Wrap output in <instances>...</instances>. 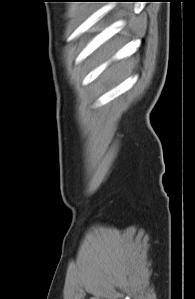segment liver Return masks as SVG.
<instances>
[{
	"instance_id": "6515ba94",
	"label": "liver",
	"mask_w": 195,
	"mask_h": 299,
	"mask_svg": "<svg viewBox=\"0 0 195 299\" xmlns=\"http://www.w3.org/2000/svg\"><path fill=\"white\" fill-rule=\"evenodd\" d=\"M115 50H116V44L112 43L107 45L103 50L104 57L105 58L111 57L115 52ZM123 65H124L123 63L113 64L109 69V73L114 75L117 71L123 69Z\"/></svg>"
}]
</instances>
